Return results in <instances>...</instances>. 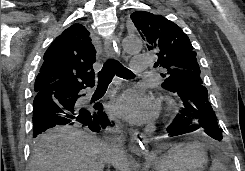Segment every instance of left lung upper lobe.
Listing matches in <instances>:
<instances>
[{"mask_svg":"<svg viewBox=\"0 0 245 171\" xmlns=\"http://www.w3.org/2000/svg\"><path fill=\"white\" fill-rule=\"evenodd\" d=\"M131 19L148 49L158 56L154 66L166 70V73L161 74L164 77L161 85L164 89L174 92L185 83H203L196 52L178 25L162 15L144 11L133 12Z\"/></svg>","mask_w":245,"mask_h":171,"instance_id":"left-lung-upper-lobe-1","label":"left lung upper lobe"}]
</instances>
